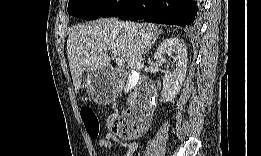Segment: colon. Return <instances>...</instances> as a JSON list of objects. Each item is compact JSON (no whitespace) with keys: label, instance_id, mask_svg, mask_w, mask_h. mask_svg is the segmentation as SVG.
Wrapping results in <instances>:
<instances>
[{"label":"colon","instance_id":"colon-1","mask_svg":"<svg viewBox=\"0 0 261 156\" xmlns=\"http://www.w3.org/2000/svg\"><path fill=\"white\" fill-rule=\"evenodd\" d=\"M81 118L86 127L88 135L95 139L99 135V122L93 109L84 107L81 110ZM108 127L110 130L121 137L139 136L147 128V121L141 122L137 125H130L124 118L113 115L108 119Z\"/></svg>","mask_w":261,"mask_h":156}]
</instances>
